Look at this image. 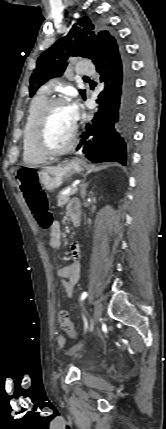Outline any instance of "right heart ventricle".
Masks as SVG:
<instances>
[{"label":"right heart ventricle","mask_w":166,"mask_h":429,"mask_svg":"<svg viewBox=\"0 0 166 429\" xmlns=\"http://www.w3.org/2000/svg\"><path fill=\"white\" fill-rule=\"evenodd\" d=\"M48 100V95L46 92H39L31 101L28 114L26 117L24 129H23V138H22V156L23 160L29 164H40L46 161L47 157L38 153L32 145V132L34 122L37 115L39 114L41 108Z\"/></svg>","instance_id":"e07e8e85"}]
</instances>
